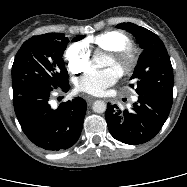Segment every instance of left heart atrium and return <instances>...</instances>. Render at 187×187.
<instances>
[{"label": "left heart atrium", "instance_id": "39dd6f15", "mask_svg": "<svg viewBox=\"0 0 187 187\" xmlns=\"http://www.w3.org/2000/svg\"><path fill=\"white\" fill-rule=\"evenodd\" d=\"M120 77V71L114 67L102 70L92 69L80 76L75 83L79 92L90 95H102L113 86Z\"/></svg>", "mask_w": 187, "mask_h": 187}]
</instances>
